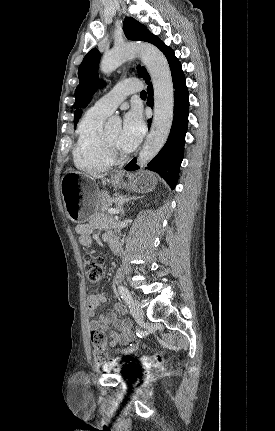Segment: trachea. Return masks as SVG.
<instances>
[{
    "instance_id": "obj_1",
    "label": "trachea",
    "mask_w": 275,
    "mask_h": 431,
    "mask_svg": "<svg viewBox=\"0 0 275 431\" xmlns=\"http://www.w3.org/2000/svg\"><path fill=\"white\" fill-rule=\"evenodd\" d=\"M140 96H141V97H146V96H147V93H146L145 91H142V92L140 93Z\"/></svg>"
}]
</instances>
